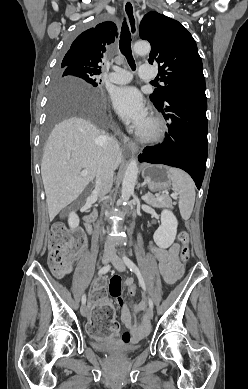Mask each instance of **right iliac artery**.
I'll use <instances>...</instances> for the list:
<instances>
[{
  "label": "right iliac artery",
  "instance_id": "82829eb1",
  "mask_svg": "<svg viewBox=\"0 0 248 389\" xmlns=\"http://www.w3.org/2000/svg\"><path fill=\"white\" fill-rule=\"evenodd\" d=\"M110 268H111L110 265H106V266L102 267V268L99 270L98 274H99V275L105 274V273H107V272L110 270ZM85 303H86V295H83V296H82V304H85Z\"/></svg>",
  "mask_w": 248,
  "mask_h": 389
}]
</instances>
